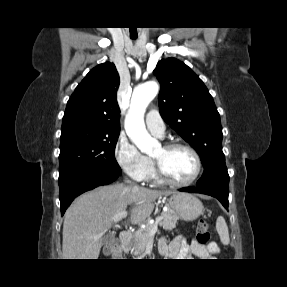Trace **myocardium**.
Instances as JSON below:
<instances>
[{
    "instance_id": "1",
    "label": "myocardium",
    "mask_w": 287,
    "mask_h": 287,
    "mask_svg": "<svg viewBox=\"0 0 287 287\" xmlns=\"http://www.w3.org/2000/svg\"><path fill=\"white\" fill-rule=\"evenodd\" d=\"M162 148L166 152L172 151L174 149H179V148L188 150L194 156V159L196 162V171L194 175L189 180L180 182V181H176L172 179L168 175V173L166 172L164 168L163 163L158 158L152 157V161H153L156 173L162 182H165L167 184H170L176 187H185V186H189L193 184L199 178L202 172V159L200 157V154L194 147L188 144H185V143H181V142H169V143L162 145Z\"/></svg>"
}]
</instances>
